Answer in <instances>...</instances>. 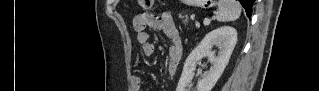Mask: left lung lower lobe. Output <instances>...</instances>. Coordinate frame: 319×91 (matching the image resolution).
<instances>
[{"mask_svg": "<svg viewBox=\"0 0 319 91\" xmlns=\"http://www.w3.org/2000/svg\"><path fill=\"white\" fill-rule=\"evenodd\" d=\"M255 0H239V2L243 5V7L245 8L246 14L249 17V19L251 18V14H252V5L254 3Z\"/></svg>", "mask_w": 319, "mask_h": 91, "instance_id": "left-lung-lower-lobe-1", "label": "left lung lower lobe"}]
</instances>
